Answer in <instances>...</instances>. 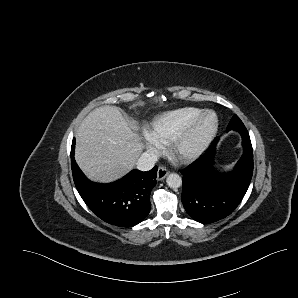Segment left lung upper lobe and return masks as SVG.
Returning a JSON list of instances; mask_svg holds the SVG:
<instances>
[{
	"label": "left lung upper lobe",
	"instance_id": "1",
	"mask_svg": "<svg viewBox=\"0 0 298 298\" xmlns=\"http://www.w3.org/2000/svg\"><path fill=\"white\" fill-rule=\"evenodd\" d=\"M245 127L237 115H234L227 126V131Z\"/></svg>",
	"mask_w": 298,
	"mask_h": 298
}]
</instances>
